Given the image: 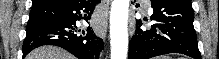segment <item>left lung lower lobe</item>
<instances>
[{
    "label": "left lung lower lobe",
    "mask_w": 219,
    "mask_h": 59,
    "mask_svg": "<svg viewBox=\"0 0 219 59\" xmlns=\"http://www.w3.org/2000/svg\"><path fill=\"white\" fill-rule=\"evenodd\" d=\"M151 4V20L157 23L145 30L138 21L128 59H150L169 53L200 59L191 0H151Z\"/></svg>",
    "instance_id": "1"
}]
</instances>
